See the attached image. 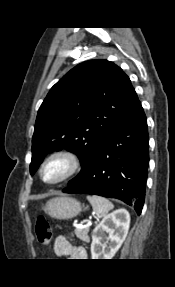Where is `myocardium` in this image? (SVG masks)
<instances>
[{
    "label": "myocardium",
    "mask_w": 175,
    "mask_h": 287,
    "mask_svg": "<svg viewBox=\"0 0 175 287\" xmlns=\"http://www.w3.org/2000/svg\"><path fill=\"white\" fill-rule=\"evenodd\" d=\"M55 159H64L68 163V169L64 173L63 176L60 178L53 180V181H47L43 176V171L45 167L53 160ZM82 168V159L81 157L74 151L69 149H60L57 151H54L50 153L42 162L39 168V176L41 180L51 186L60 185L70 179H72L74 176H76L79 171Z\"/></svg>",
    "instance_id": "f54148a6"
}]
</instances>
